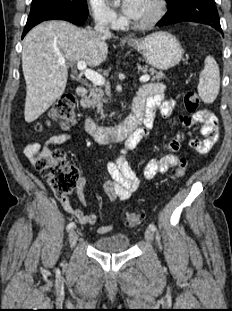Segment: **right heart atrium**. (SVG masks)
<instances>
[{"mask_svg":"<svg viewBox=\"0 0 232 311\" xmlns=\"http://www.w3.org/2000/svg\"><path fill=\"white\" fill-rule=\"evenodd\" d=\"M91 14L94 20L103 26L110 28L117 27L121 19L114 9L105 0H88Z\"/></svg>","mask_w":232,"mask_h":311,"instance_id":"1","label":"right heart atrium"}]
</instances>
